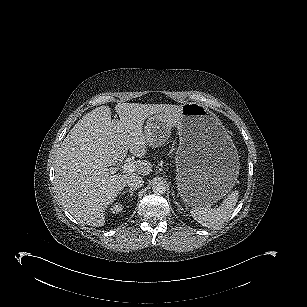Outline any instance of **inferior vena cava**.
<instances>
[{"instance_id":"602c4592","label":"inferior vena cava","mask_w":307,"mask_h":307,"mask_svg":"<svg viewBox=\"0 0 307 307\" xmlns=\"http://www.w3.org/2000/svg\"><path fill=\"white\" fill-rule=\"evenodd\" d=\"M127 184L130 188H140L144 184V180L141 176H132L127 180Z\"/></svg>"}]
</instances>
